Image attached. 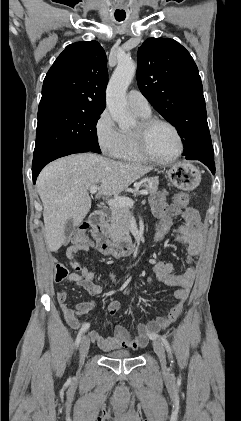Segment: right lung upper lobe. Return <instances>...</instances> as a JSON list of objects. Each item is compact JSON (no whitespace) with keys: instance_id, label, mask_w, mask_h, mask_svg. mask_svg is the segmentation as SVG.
<instances>
[{"instance_id":"1","label":"right lung upper lobe","mask_w":241,"mask_h":421,"mask_svg":"<svg viewBox=\"0 0 241 421\" xmlns=\"http://www.w3.org/2000/svg\"><path fill=\"white\" fill-rule=\"evenodd\" d=\"M106 64V54L98 42L68 45L47 72L39 110L103 111L108 83Z\"/></svg>"}]
</instances>
